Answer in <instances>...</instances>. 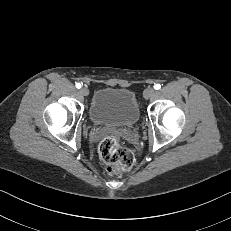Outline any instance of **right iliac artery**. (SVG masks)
Here are the masks:
<instances>
[{
    "label": "right iliac artery",
    "mask_w": 231,
    "mask_h": 231,
    "mask_svg": "<svg viewBox=\"0 0 231 231\" xmlns=\"http://www.w3.org/2000/svg\"><path fill=\"white\" fill-rule=\"evenodd\" d=\"M76 87L79 89L81 88V84L80 83H76Z\"/></svg>",
    "instance_id": "right-iliac-artery-1"
}]
</instances>
